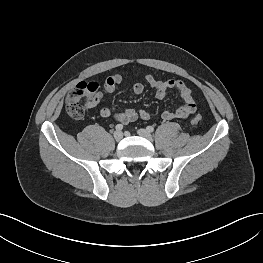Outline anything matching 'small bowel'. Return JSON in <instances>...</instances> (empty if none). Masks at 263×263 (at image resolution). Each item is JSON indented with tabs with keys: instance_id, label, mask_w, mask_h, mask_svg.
<instances>
[{
	"instance_id": "obj_1",
	"label": "small bowel",
	"mask_w": 263,
	"mask_h": 263,
	"mask_svg": "<svg viewBox=\"0 0 263 263\" xmlns=\"http://www.w3.org/2000/svg\"><path fill=\"white\" fill-rule=\"evenodd\" d=\"M146 83L155 90V95L158 99L166 97L170 90L177 91L182 97L184 103L176 111H164L161 115L164 121H170L175 118L185 119L196 111V103L192 96L190 88L181 80L168 79L159 80L152 75L145 77ZM122 83V77L119 74H113L108 76L103 83L102 89L96 93L93 97L91 106H96L100 103L105 95L111 94L115 91L118 85ZM132 91L135 95H140L144 91V85L140 82L135 83L132 87ZM102 117H112L116 121L122 124H129L137 119L149 120L150 113L145 109L134 110L131 108H125L121 112H114L108 107H102L99 110Z\"/></svg>"
}]
</instances>
